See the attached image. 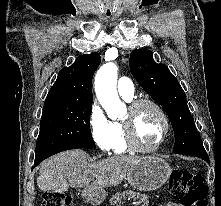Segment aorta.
I'll use <instances>...</instances> for the list:
<instances>
[{
    "instance_id": "1",
    "label": "aorta",
    "mask_w": 221,
    "mask_h": 206,
    "mask_svg": "<svg viewBox=\"0 0 221 206\" xmlns=\"http://www.w3.org/2000/svg\"><path fill=\"white\" fill-rule=\"evenodd\" d=\"M117 71L113 62L104 64L95 77V92L110 119L115 120L125 110L117 93Z\"/></svg>"
}]
</instances>
